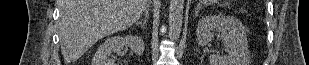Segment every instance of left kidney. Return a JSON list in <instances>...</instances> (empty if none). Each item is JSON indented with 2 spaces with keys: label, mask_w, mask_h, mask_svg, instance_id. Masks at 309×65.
I'll use <instances>...</instances> for the list:
<instances>
[{
  "label": "left kidney",
  "mask_w": 309,
  "mask_h": 65,
  "mask_svg": "<svg viewBox=\"0 0 309 65\" xmlns=\"http://www.w3.org/2000/svg\"><path fill=\"white\" fill-rule=\"evenodd\" d=\"M219 33L228 51L227 56L211 55L210 65H247L249 60L248 40L241 21L232 16L208 15L197 25L196 41L205 46Z\"/></svg>",
  "instance_id": "5707ae66"
}]
</instances>
